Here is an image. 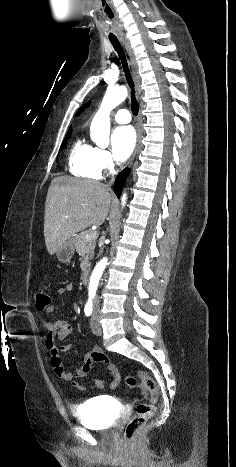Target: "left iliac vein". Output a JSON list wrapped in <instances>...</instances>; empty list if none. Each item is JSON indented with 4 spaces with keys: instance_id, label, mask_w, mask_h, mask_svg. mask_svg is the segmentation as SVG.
I'll return each instance as SVG.
<instances>
[{
    "instance_id": "4c4485c4",
    "label": "left iliac vein",
    "mask_w": 236,
    "mask_h": 467,
    "mask_svg": "<svg viewBox=\"0 0 236 467\" xmlns=\"http://www.w3.org/2000/svg\"><path fill=\"white\" fill-rule=\"evenodd\" d=\"M90 326H91V330L92 332L99 336L101 335V325L99 323V317H98V313L95 311L91 317V321H90Z\"/></svg>"
}]
</instances>
